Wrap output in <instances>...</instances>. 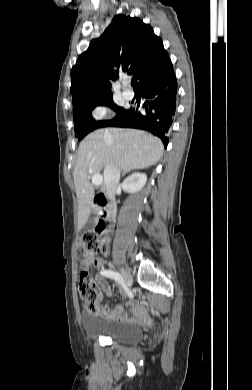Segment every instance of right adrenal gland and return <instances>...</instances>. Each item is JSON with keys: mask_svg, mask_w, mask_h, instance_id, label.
<instances>
[{"mask_svg": "<svg viewBox=\"0 0 252 390\" xmlns=\"http://www.w3.org/2000/svg\"><path fill=\"white\" fill-rule=\"evenodd\" d=\"M130 172L129 170H125L123 173H122V177L125 176L126 173Z\"/></svg>", "mask_w": 252, "mask_h": 390, "instance_id": "obj_1", "label": "right adrenal gland"}]
</instances>
